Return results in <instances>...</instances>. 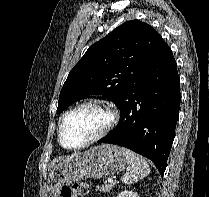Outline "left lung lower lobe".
<instances>
[{"label":"left lung lower lobe","mask_w":209,"mask_h":197,"mask_svg":"<svg viewBox=\"0 0 209 197\" xmlns=\"http://www.w3.org/2000/svg\"><path fill=\"white\" fill-rule=\"evenodd\" d=\"M177 64L165 44L118 106L119 124L98 142L121 145L153 161L163 175L180 108Z\"/></svg>","instance_id":"0a47b994"}]
</instances>
